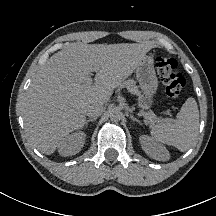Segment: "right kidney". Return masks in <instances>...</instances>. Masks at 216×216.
<instances>
[{
    "mask_svg": "<svg viewBox=\"0 0 216 216\" xmlns=\"http://www.w3.org/2000/svg\"><path fill=\"white\" fill-rule=\"evenodd\" d=\"M85 143L83 132L68 134L58 144L59 153L62 156H72L78 153Z\"/></svg>",
    "mask_w": 216,
    "mask_h": 216,
    "instance_id": "obj_1",
    "label": "right kidney"
}]
</instances>
